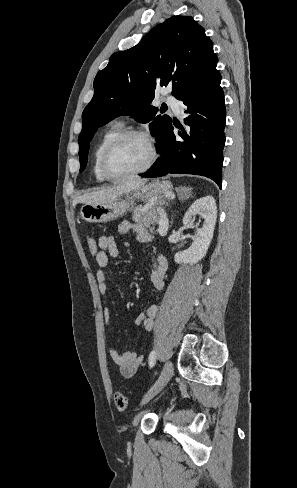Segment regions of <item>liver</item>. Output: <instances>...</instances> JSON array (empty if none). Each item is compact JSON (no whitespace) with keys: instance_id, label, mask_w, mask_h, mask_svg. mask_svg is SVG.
Masks as SVG:
<instances>
[{"instance_id":"6515ba94","label":"liver","mask_w":297,"mask_h":488,"mask_svg":"<svg viewBox=\"0 0 297 488\" xmlns=\"http://www.w3.org/2000/svg\"><path fill=\"white\" fill-rule=\"evenodd\" d=\"M147 179H140V178H131L122 182L121 184L102 189L99 191H94L90 193H86L78 198V201L85 203V204H104L110 203L114 200L118 199L122 194L127 192L136 190L143 185H145Z\"/></svg>"}]
</instances>
